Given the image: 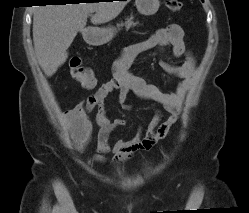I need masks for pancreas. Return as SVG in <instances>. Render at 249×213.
Listing matches in <instances>:
<instances>
[{
    "instance_id": "cf45deb5",
    "label": "pancreas",
    "mask_w": 249,
    "mask_h": 213,
    "mask_svg": "<svg viewBox=\"0 0 249 213\" xmlns=\"http://www.w3.org/2000/svg\"><path fill=\"white\" fill-rule=\"evenodd\" d=\"M137 24L138 22H134V17L131 15L130 17H127L124 22L121 21V23L117 24V29L120 30L122 27H125L128 30Z\"/></svg>"
}]
</instances>
